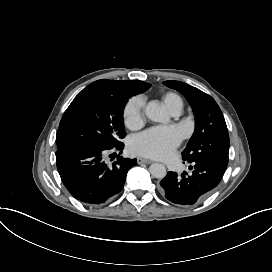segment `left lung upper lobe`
I'll return each mask as SVG.
<instances>
[{"label":"left lung upper lobe","instance_id":"5c2ea615","mask_svg":"<svg viewBox=\"0 0 272 272\" xmlns=\"http://www.w3.org/2000/svg\"><path fill=\"white\" fill-rule=\"evenodd\" d=\"M163 84L183 94L196 116V128L182 153L183 160L207 161L226 168L229 135L218 104L208 94L186 83L164 81Z\"/></svg>","mask_w":272,"mask_h":272}]
</instances>
